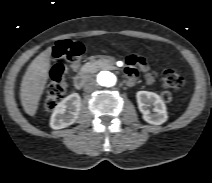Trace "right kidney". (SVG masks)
I'll list each match as a JSON object with an SVG mask.
<instances>
[{
    "label": "right kidney",
    "mask_w": 212,
    "mask_h": 183,
    "mask_svg": "<svg viewBox=\"0 0 212 183\" xmlns=\"http://www.w3.org/2000/svg\"><path fill=\"white\" fill-rule=\"evenodd\" d=\"M80 109V95L78 93L68 95L56 105L50 119V127L62 129L73 124L78 118Z\"/></svg>",
    "instance_id": "obj_1"
}]
</instances>
